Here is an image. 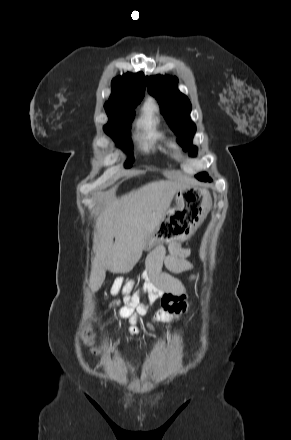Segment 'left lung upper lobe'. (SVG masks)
<instances>
[{
  "mask_svg": "<svg viewBox=\"0 0 291 440\" xmlns=\"http://www.w3.org/2000/svg\"><path fill=\"white\" fill-rule=\"evenodd\" d=\"M176 77L156 75L146 77L148 92L154 96L161 106V113L169 123L171 129L178 135V143L190 156H195L197 147L192 145V138L196 131L195 124L190 119L191 103L179 92ZM199 180L210 179L207 173L196 175Z\"/></svg>",
  "mask_w": 291,
  "mask_h": 440,
  "instance_id": "1",
  "label": "left lung upper lobe"
}]
</instances>
